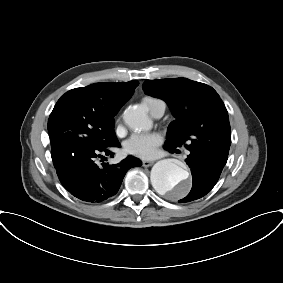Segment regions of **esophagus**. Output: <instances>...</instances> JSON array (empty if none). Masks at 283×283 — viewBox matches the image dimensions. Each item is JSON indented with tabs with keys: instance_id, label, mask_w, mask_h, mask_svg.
Here are the masks:
<instances>
[{
	"instance_id": "34e87169",
	"label": "esophagus",
	"mask_w": 283,
	"mask_h": 283,
	"mask_svg": "<svg viewBox=\"0 0 283 283\" xmlns=\"http://www.w3.org/2000/svg\"><path fill=\"white\" fill-rule=\"evenodd\" d=\"M153 163H154V161H146V160H144V161H142V166L143 167H149V166H152Z\"/></svg>"
}]
</instances>
